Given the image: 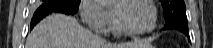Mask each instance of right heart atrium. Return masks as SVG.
I'll return each mask as SVG.
<instances>
[{
  "mask_svg": "<svg viewBox=\"0 0 213 48\" xmlns=\"http://www.w3.org/2000/svg\"><path fill=\"white\" fill-rule=\"evenodd\" d=\"M79 11L82 20L95 32L107 33L114 21V14L106 9L99 1L82 0Z\"/></svg>",
  "mask_w": 213,
  "mask_h": 48,
  "instance_id": "d8ad5b80",
  "label": "right heart atrium"
}]
</instances>
